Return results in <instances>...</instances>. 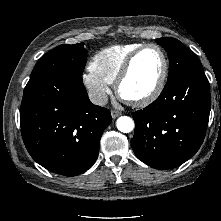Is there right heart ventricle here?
Instances as JSON below:
<instances>
[{
    "mask_svg": "<svg viewBox=\"0 0 221 221\" xmlns=\"http://www.w3.org/2000/svg\"><path fill=\"white\" fill-rule=\"evenodd\" d=\"M141 45L143 44L132 42L104 48L93 56L89 69L99 78L113 84L128 56Z\"/></svg>",
    "mask_w": 221,
    "mask_h": 221,
    "instance_id": "obj_1",
    "label": "right heart ventricle"
}]
</instances>
